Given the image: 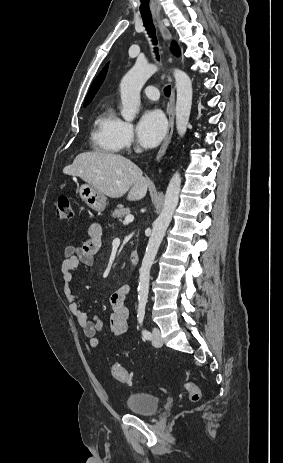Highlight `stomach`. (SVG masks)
I'll use <instances>...</instances> for the list:
<instances>
[{"instance_id": "stomach-1", "label": "stomach", "mask_w": 283, "mask_h": 463, "mask_svg": "<svg viewBox=\"0 0 283 463\" xmlns=\"http://www.w3.org/2000/svg\"><path fill=\"white\" fill-rule=\"evenodd\" d=\"M80 198L94 211L102 212L106 207V197L91 184H83L79 187Z\"/></svg>"}]
</instances>
